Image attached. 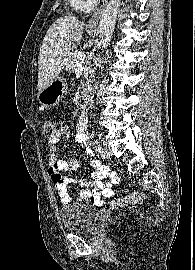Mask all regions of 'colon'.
Wrapping results in <instances>:
<instances>
[{"label": "colon", "instance_id": "obj_1", "mask_svg": "<svg viewBox=\"0 0 195 270\" xmlns=\"http://www.w3.org/2000/svg\"><path fill=\"white\" fill-rule=\"evenodd\" d=\"M38 124L44 136L51 137L54 134L55 129H54V123L52 120L48 118H41L39 119ZM142 199H143V195L141 193H134L132 195L118 198L117 200H115L113 204L115 206H126V205L139 203Z\"/></svg>", "mask_w": 195, "mask_h": 270}]
</instances>
